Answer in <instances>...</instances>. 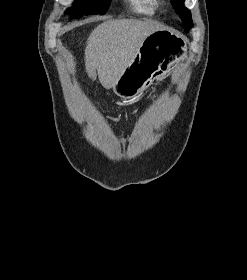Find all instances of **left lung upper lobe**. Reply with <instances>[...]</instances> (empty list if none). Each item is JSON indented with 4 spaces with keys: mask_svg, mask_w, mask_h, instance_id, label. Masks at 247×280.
<instances>
[{
    "mask_svg": "<svg viewBox=\"0 0 247 280\" xmlns=\"http://www.w3.org/2000/svg\"><path fill=\"white\" fill-rule=\"evenodd\" d=\"M185 0H173L176 12L179 14L180 18L184 22L186 31H188L192 26V18L190 11L184 6Z\"/></svg>",
    "mask_w": 247,
    "mask_h": 280,
    "instance_id": "left-lung-upper-lobe-1",
    "label": "left lung upper lobe"
}]
</instances>
